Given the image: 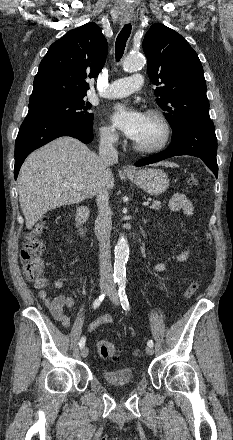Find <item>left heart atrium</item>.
<instances>
[{"label": "left heart atrium", "mask_w": 233, "mask_h": 440, "mask_svg": "<svg viewBox=\"0 0 233 440\" xmlns=\"http://www.w3.org/2000/svg\"><path fill=\"white\" fill-rule=\"evenodd\" d=\"M110 119L127 137L136 140L145 125L146 115L132 106L116 104L111 110Z\"/></svg>", "instance_id": "39dd6f15"}]
</instances>
